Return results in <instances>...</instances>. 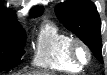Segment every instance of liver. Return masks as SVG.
<instances>
[{
	"label": "liver",
	"instance_id": "liver-1",
	"mask_svg": "<svg viewBox=\"0 0 107 75\" xmlns=\"http://www.w3.org/2000/svg\"><path fill=\"white\" fill-rule=\"evenodd\" d=\"M17 75H20V74H17ZM27 75H53V74H49L47 72H32L30 74H27Z\"/></svg>",
	"mask_w": 107,
	"mask_h": 75
}]
</instances>
